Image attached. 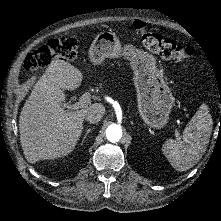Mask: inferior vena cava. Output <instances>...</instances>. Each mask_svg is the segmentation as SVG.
Returning a JSON list of instances; mask_svg holds the SVG:
<instances>
[{
  "label": "inferior vena cava",
  "mask_w": 221,
  "mask_h": 221,
  "mask_svg": "<svg viewBox=\"0 0 221 221\" xmlns=\"http://www.w3.org/2000/svg\"><path fill=\"white\" fill-rule=\"evenodd\" d=\"M104 112L93 110L85 114L84 118L90 123H98L103 119Z\"/></svg>",
  "instance_id": "602c4592"
}]
</instances>
